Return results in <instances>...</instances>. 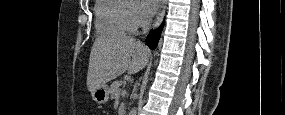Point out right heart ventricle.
I'll use <instances>...</instances> for the list:
<instances>
[{
	"instance_id": "obj_1",
	"label": "right heart ventricle",
	"mask_w": 285,
	"mask_h": 115,
	"mask_svg": "<svg viewBox=\"0 0 285 115\" xmlns=\"http://www.w3.org/2000/svg\"><path fill=\"white\" fill-rule=\"evenodd\" d=\"M96 30L100 36L115 37L131 31V14L119 0H101L96 5Z\"/></svg>"
}]
</instances>
